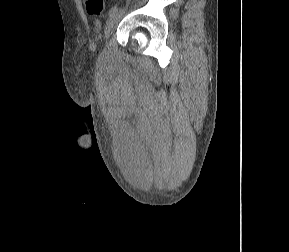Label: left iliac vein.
Here are the masks:
<instances>
[{
	"label": "left iliac vein",
	"mask_w": 289,
	"mask_h": 252,
	"mask_svg": "<svg viewBox=\"0 0 289 252\" xmlns=\"http://www.w3.org/2000/svg\"><path fill=\"white\" fill-rule=\"evenodd\" d=\"M121 16V11H118L112 15L109 16L107 22H106V26H105V30H104V38L108 39L111 34L113 33L119 19Z\"/></svg>",
	"instance_id": "left-iliac-vein-1"
}]
</instances>
